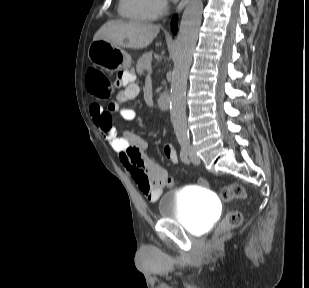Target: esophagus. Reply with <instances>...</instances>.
I'll return each mask as SVG.
<instances>
[{
	"label": "esophagus",
	"mask_w": 309,
	"mask_h": 288,
	"mask_svg": "<svg viewBox=\"0 0 309 288\" xmlns=\"http://www.w3.org/2000/svg\"><path fill=\"white\" fill-rule=\"evenodd\" d=\"M190 0H181V2L179 3V5L177 6L176 9V13L179 14L182 12V10L184 9V7L188 4Z\"/></svg>",
	"instance_id": "obj_1"
}]
</instances>
